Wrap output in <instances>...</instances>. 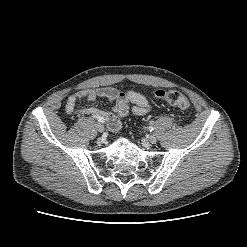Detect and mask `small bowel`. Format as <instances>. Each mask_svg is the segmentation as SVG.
<instances>
[{"instance_id":"small-bowel-1","label":"small bowel","mask_w":247,"mask_h":247,"mask_svg":"<svg viewBox=\"0 0 247 247\" xmlns=\"http://www.w3.org/2000/svg\"><path fill=\"white\" fill-rule=\"evenodd\" d=\"M97 98H105L112 103V110H101L95 107H86L80 110L82 115L101 117L112 131L120 129L122 119L129 113L135 115L147 114L151 106L144 95L136 91L121 92L112 87L84 89L70 95L65 105L67 114L73 113L83 101H93Z\"/></svg>"}]
</instances>
